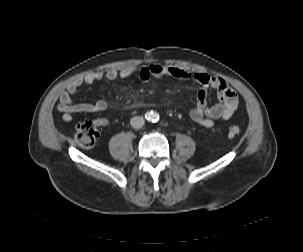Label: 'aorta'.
<instances>
[{
    "mask_svg": "<svg viewBox=\"0 0 303 252\" xmlns=\"http://www.w3.org/2000/svg\"><path fill=\"white\" fill-rule=\"evenodd\" d=\"M148 117H149L150 121H156L158 118V115L156 113H150Z\"/></svg>",
    "mask_w": 303,
    "mask_h": 252,
    "instance_id": "obj_1",
    "label": "aorta"
}]
</instances>
